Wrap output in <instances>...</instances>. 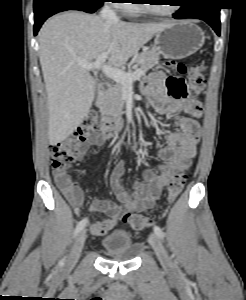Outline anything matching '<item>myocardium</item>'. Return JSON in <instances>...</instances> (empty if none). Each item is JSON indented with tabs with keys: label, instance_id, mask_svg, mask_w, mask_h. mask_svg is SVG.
I'll return each mask as SVG.
<instances>
[{
	"label": "myocardium",
	"instance_id": "myocardium-1",
	"mask_svg": "<svg viewBox=\"0 0 246 300\" xmlns=\"http://www.w3.org/2000/svg\"><path fill=\"white\" fill-rule=\"evenodd\" d=\"M179 8H180L179 5H174V7L168 12H159L154 10L149 3H144L139 5L140 11L158 17L174 16L178 12Z\"/></svg>",
	"mask_w": 246,
	"mask_h": 300
}]
</instances>
